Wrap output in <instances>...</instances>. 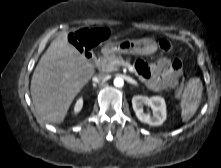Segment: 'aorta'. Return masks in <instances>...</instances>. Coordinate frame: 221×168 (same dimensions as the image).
Segmentation results:
<instances>
[{
    "instance_id": "762f6f07",
    "label": "aorta",
    "mask_w": 221,
    "mask_h": 168,
    "mask_svg": "<svg viewBox=\"0 0 221 168\" xmlns=\"http://www.w3.org/2000/svg\"><path fill=\"white\" fill-rule=\"evenodd\" d=\"M114 85L116 87H122L124 85V80L121 77H116L114 79Z\"/></svg>"
}]
</instances>
